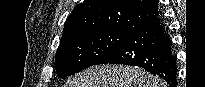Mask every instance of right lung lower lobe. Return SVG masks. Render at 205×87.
Segmentation results:
<instances>
[{
	"label": "right lung lower lobe",
	"instance_id": "obj_1",
	"mask_svg": "<svg viewBox=\"0 0 205 87\" xmlns=\"http://www.w3.org/2000/svg\"><path fill=\"white\" fill-rule=\"evenodd\" d=\"M124 64L144 68L170 87L177 85V63L171 39L160 18L134 31L123 43L96 64Z\"/></svg>",
	"mask_w": 205,
	"mask_h": 87
}]
</instances>
